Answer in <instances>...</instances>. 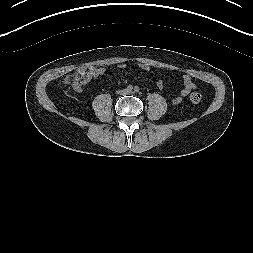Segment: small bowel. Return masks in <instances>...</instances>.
<instances>
[{"label": "small bowel", "instance_id": "1", "mask_svg": "<svg viewBox=\"0 0 253 253\" xmlns=\"http://www.w3.org/2000/svg\"><path fill=\"white\" fill-rule=\"evenodd\" d=\"M102 73H103V69H93V71H92V75H94V76H98V75H100V74H102ZM194 88H195V85H194V83H193V81H192V79H191V76L188 75V74H185V75L183 76V89L181 90L180 95H181L182 97H184V96L188 95L189 92H190L192 89H194ZM75 90L78 91V92H80V91H81V88L78 87V88H75ZM179 101H180V98H179V97H177V98L174 100L175 103H178Z\"/></svg>", "mask_w": 253, "mask_h": 253}]
</instances>
